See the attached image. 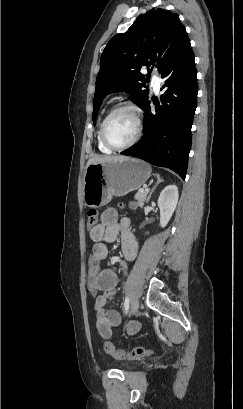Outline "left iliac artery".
I'll use <instances>...</instances> for the list:
<instances>
[{
	"mask_svg": "<svg viewBox=\"0 0 243 409\" xmlns=\"http://www.w3.org/2000/svg\"><path fill=\"white\" fill-rule=\"evenodd\" d=\"M128 310H129V298L126 297V298H125V301H124V311H125V314L128 313Z\"/></svg>",
	"mask_w": 243,
	"mask_h": 409,
	"instance_id": "44dca946",
	"label": "left iliac artery"
}]
</instances>
